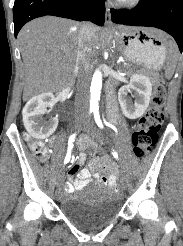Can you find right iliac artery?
<instances>
[{
	"label": "right iliac artery",
	"instance_id": "82829eb1",
	"mask_svg": "<svg viewBox=\"0 0 183 246\" xmlns=\"http://www.w3.org/2000/svg\"><path fill=\"white\" fill-rule=\"evenodd\" d=\"M92 111H90L91 113ZM75 137H76V134H72L70 137H69V140H68V149H67V154H66V157L64 159V164H67L69 161H70V158H71V152H72V148H73V142L75 140Z\"/></svg>",
	"mask_w": 183,
	"mask_h": 246
}]
</instances>
